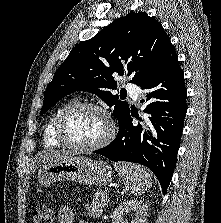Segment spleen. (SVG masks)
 <instances>
[{"label": "spleen", "instance_id": "1", "mask_svg": "<svg viewBox=\"0 0 221 223\" xmlns=\"http://www.w3.org/2000/svg\"><path fill=\"white\" fill-rule=\"evenodd\" d=\"M115 170L118 172L125 187L134 195L145 193L151 186V176L147 170L137 164L117 163L114 164Z\"/></svg>", "mask_w": 221, "mask_h": 223}]
</instances>
